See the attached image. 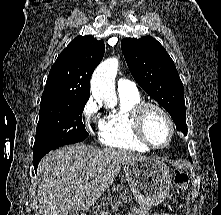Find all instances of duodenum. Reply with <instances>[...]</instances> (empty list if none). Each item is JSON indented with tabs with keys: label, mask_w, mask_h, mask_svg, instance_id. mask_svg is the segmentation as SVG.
Here are the masks:
<instances>
[{
	"label": "duodenum",
	"mask_w": 221,
	"mask_h": 215,
	"mask_svg": "<svg viewBox=\"0 0 221 215\" xmlns=\"http://www.w3.org/2000/svg\"><path fill=\"white\" fill-rule=\"evenodd\" d=\"M83 215H92V214H91V212L88 211V212H86V213L83 214Z\"/></svg>",
	"instance_id": "obj_1"
}]
</instances>
